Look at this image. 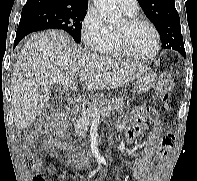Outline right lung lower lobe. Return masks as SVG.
I'll return each mask as SVG.
<instances>
[{"instance_id":"obj_1","label":"right lung lower lobe","mask_w":197,"mask_h":181,"mask_svg":"<svg viewBox=\"0 0 197 181\" xmlns=\"http://www.w3.org/2000/svg\"><path fill=\"white\" fill-rule=\"evenodd\" d=\"M44 29H47V28L43 25H40V24L30 21V20L21 19L18 29H17V33H16L14 47L20 42V40L22 38H24L29 33L44 30Z\"/></svg>"}]
</instances>
